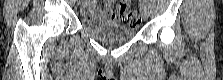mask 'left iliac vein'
Segmentation results:
<instances>
[{
    "mask_svg": "<svg viewBox=\"0 0 223 80\" xmlns=\"http://www.w3.org/2000/svg\"><path fill=\"white\" fill-rule=\"evenodd\" d=\"M140 11H141V15L143 17L144 20H147L148 17H149V11H148V7L145 3H143L141 6H140Z\"/></svg>",
    "mask_w": 223,
    "mask_h": 80,
    "instance_id": "4c4485c4",
    "label": "left iliac vein"
}]
</instances>
